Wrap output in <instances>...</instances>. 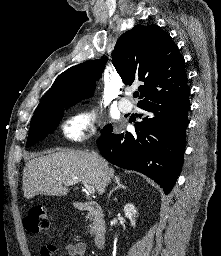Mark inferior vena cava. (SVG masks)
Instances as JSON below:
<instances>
[{
	"label": "inferior vena cava",
	"mask_w": 221,
	"mask_h": 256,
	"mask_svg": "<svg viewBox=\"0 0 221 256\" xmlns=\"http://www.w3.org/2000/svg\"><path fill=\"white\" fill-rule=\"evenodd\" d=\"M93 155L96 156V157H98V154L95 153V152H93ZM109 181H110V177L105 176V177H104V184H105V186L109 183Z\"/></svg>",
	"instance_id": "obj_1"
}]
</instances>
